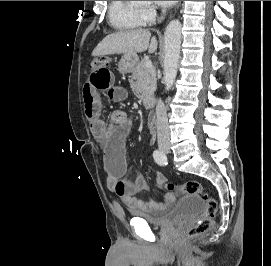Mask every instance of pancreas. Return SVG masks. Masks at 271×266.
<instances>
[{
  "mask_svg": "<svg viewBox=\"0 0 271 266\" xmlns=\"http://www.w3.org/2000/svg\"><path fill=\"white\" fill-rule=\"evenodd\" d=\"M146 59L141 60L132 70L131 88L134 94L143 99L154 93L156 89V71L155 68L146 67Z\"/></svg>",
  "mask_w": 271,
  "mask_h": 266,
  "instance_id": "cf45deb5",
  "label": "pancreas"
}]
</instances>
